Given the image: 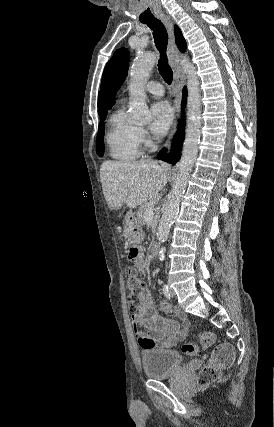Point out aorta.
Instances as JSON below:
<instances>
[{
	"instance_id": "obj_1",
	"label": "aorta",
	"mask_w": 274,
	"mask_h": 427,
	"mask_svg": "<svg viewBox=\"0 0 274 427\" xmlns=\"http://www.w3.org/2000/svg\"><path fill=\"white\" fill-rule=\"evenodd\" d=\"M155 61L156 56L152 52L138 54L130 71V114L138 122H145L149 118L144 85ZM181 65L186 74L188 89L186 136L182 157L178 163V173L157 230V238L161 243L168 239L170 227L177 218L180 199L197 158L201 135V94L196 68L186 56L181 58ZM165 251L164 247L160 248V261L165 260Z\"/></svg>"
}]
</instances>
